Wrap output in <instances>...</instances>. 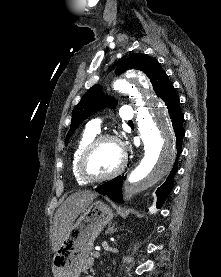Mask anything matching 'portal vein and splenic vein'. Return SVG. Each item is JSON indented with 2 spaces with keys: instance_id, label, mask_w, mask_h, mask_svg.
I'll list each match as a JSON object with an SVG mask.
<instances>
[{
  "instance_id": "obj_1",
  "label": "portal vein and splenic vein",
  "mask_w": 221,
  "mask_h": 277,
  "mask_svg": "<svg viewBox=\"0 0 221 277\" xmlns=\"http://www.w3.org/2000/svg\"><path fill=\"white\" fill-rule=\"evenodd\" d=\"M95 256H99V252L96 251V252H95Z\"/></svg>"
}]
</instances>
